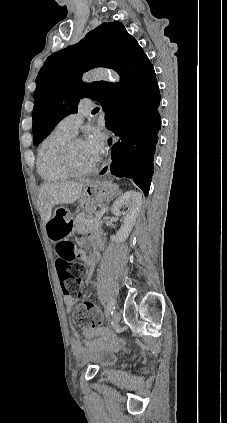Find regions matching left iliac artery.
Here are the masks:
<instances>
[{
	"label": "left iliac artery",
	"instance_id": "left-iliac-artery-1",
	"mask_svg": "<svg viewBox=\"0 0 227 423\" xmlns=\"http://www.w3.org/2000/svg\"><path fill=\"white\" fill-rule=\"evenodd\" d=\"M114 305H115L114 300L110 299L107 303V308H106V311H105L106 318L109 317L110 313L111 314L113 313V309H115Z\"/></svg>",
	"mask_w": 227,
	"mask_h": 423
}]
</instances>
